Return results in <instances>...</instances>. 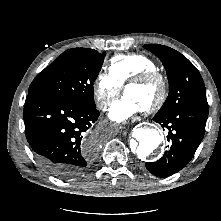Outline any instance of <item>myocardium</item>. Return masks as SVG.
Returning <instances> with one entry per match:
<instances>
[{
  "mask_svg": "<svg viewBox=\"0 0 221 221\" xmlns=\"http://www.w3.org/2000/svg\"><path fill=\"white\" fill-rule=\"evenodd\" d=\"M145 83H155L159 87V94L156 100L142 109L145 113H154L164 105L168 96V85L166 79L158 70H147L135 75L125 83L123 90L125 92V90L130 86Z\"/></svg>",
  "mask_w": 221,
  "mask_h": 221,
  "instance_id": "myocardium-1",
  "label": "myocardium"
}]
</instances>
